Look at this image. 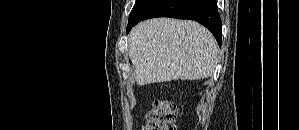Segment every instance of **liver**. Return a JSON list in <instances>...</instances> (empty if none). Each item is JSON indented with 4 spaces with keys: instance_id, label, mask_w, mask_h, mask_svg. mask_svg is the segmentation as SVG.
<instances>
[{
    "instance_id": "6515ba94",
    "label": "liver",
    "mask_w": 299,
    "mask_h": 130,
    "mask_svg": "<svg viewBox=\"0 0 299 130\" xmlns=\"http://www.w3.org/2000/svg\"><path fill=\"white\" fill-rule=\"evenodd\" d=\"M128 43L139 85L208 78L217 65L215 38L194 21L146 20L131 30Z\"/></svg>"
}]
</instances>
